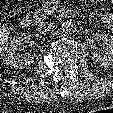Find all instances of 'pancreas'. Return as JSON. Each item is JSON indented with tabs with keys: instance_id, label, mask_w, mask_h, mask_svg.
Here are the masks:
<instances>
[{
	"instance_id": "obj_1",
	"label": "pancreas",
	"mask_w": 113,
	"mask_h": 113,
	"mask_svg": "<svg viewBox=\"0 0 113 113\" xmlns=\"http://www.w3.org/2000/svg\"><path fill=\"white\" fill-rule=\"evenodd\" d=\"M32 14L35 22H40L42 19H45L50 14V11L48 9H37Z\"/></svg>"
}]
</instances>
